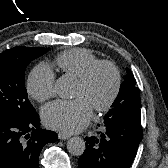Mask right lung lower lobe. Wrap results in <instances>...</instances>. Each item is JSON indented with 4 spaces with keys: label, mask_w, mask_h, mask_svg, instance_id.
I'll return each instance as SVG.
<instances>
[{
    "label": "right lung lower lobe",
    "mask_w": 168,
    "mask_h": 168,
    "mask_svg": "<svg viewBox=\"0 0 168 168\" xmlns=\"http://www.w3.org/2000/svg\"><path fill=\"white\" fill-rule=\"evenodd\" d=\"M57 134L40 128L37 114L22 119L0 117V168H39L43 146Z\"/></svg>",
    "instance_id": "right-lung-lower-lobe-1"
}]
</instances>
